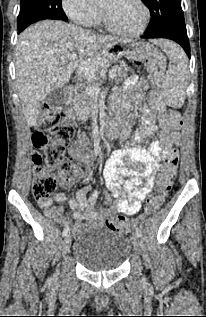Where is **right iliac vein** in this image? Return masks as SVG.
Wrapping results in <instances>:
<instances>
[{
    "instance_id": "obj_1",
    "label": "right iliac vein",
    "mask_w": 206,
    "mask_h": 317,
    "mask_svg": "<svg viewBox=\"0 0 206 317\" xmlns=\"http://www.w3.org/2000/svg\"><path fill=\"white\" fill-rule=\"evenodd\" d=\"M71 246V237L68 235L65 237L63 244H62V250L61 254L62 256L66 255L70 249ZM59 274V269L57 270V275Z\"/></svg>"
}]
</instances>
